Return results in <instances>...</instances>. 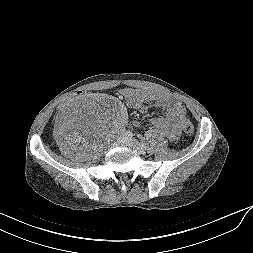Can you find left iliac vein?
Returning a JSON list of instances; mask_svg holds the SVG:
<instances>
[{
    "label": "left iliac vein",
    "instance_id": "obj_1",
    "mask_svg": "<svg viewBox=\"0 0 253 253\" xmlns=\"http://www.w3.org/2000/svg\"><path fill=\"white\" fill-rule=\"evenodd\" d=\"M123 144L131 149H133L138 154H143L145 152L141 144L134 138H125Z\"/></svg>",
    "mask_w": 253,
    "mask_h": 253
}]
</instances>
